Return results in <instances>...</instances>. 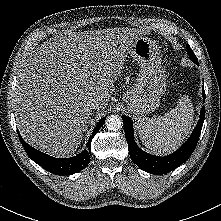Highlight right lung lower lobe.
<instances>
[{
    "mask_svg": "<svg viewBox=\"0 0 221 221\" xmlns=\"http://www.w3.org/2000/svg\"><path fill=\"white\" fill-rule=\"evenodd\" d=\"M105 118H101L97 123L92 135L89 138L87 149H84L78 155L71 158H54L47 154H44L37 149L30 146L26 143L21 135L19 134L20 141L28 154V156L39 166L46 169L47 171L57 174V175H70L74 174L84 168H86L90 162V147L91 140L94 134L100 129V127L104 124ZM19 133V132H18Z\"/></svg>",
    "mask_w": 221,
    "mask_h": 221,
    "instance_id": "right-lung-lower-lobe-1",
    "label": "right lung lower lobe"
}]
</instances>
